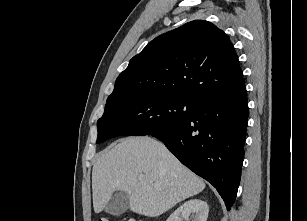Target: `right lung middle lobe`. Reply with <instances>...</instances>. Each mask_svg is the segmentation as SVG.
<instances>
[{
	"label": "right lung middle lobe",
	"instance_id": "1",
	"mask_svg": "<svg viewBox=\"0 0 307 221\" xmlns=\"http://www.w3.org/2000/svg\"><path fill=\"white\" fill-rule=\"evenodd\" d=\"M197 103L163 94L125 97L106 104L97 122L102 143L116 136L151 135L172 128L188 119Z\"/></svg>",
	"mask_w": 307,
	"mask_h": 221
}]
</instances>
